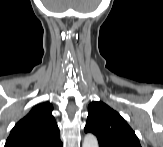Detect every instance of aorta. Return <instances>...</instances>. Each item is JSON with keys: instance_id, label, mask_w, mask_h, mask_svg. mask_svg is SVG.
Returning a JSON list of instances; mask_svg holds the SVG:
<instances>
[{"instance_id": "aorta-1", "label": "aorta", "mask_w": 163, "mask_h": 147, "mask_svg": "<svg viewBox=\"0 0 163 147\" xmlns=\"http://www.w3.org/2000/svg\"><path fill=\"white\" fill-rule=\"evenodd\" d=\"M83 147H98L97 138L92 134H87L83 140Z\"/></svg>"}]
</instances>
